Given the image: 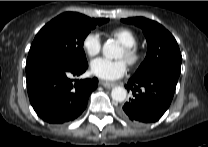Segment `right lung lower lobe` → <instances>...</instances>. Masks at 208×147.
<instances>
[{
    "label": "right lung lower lobe",
    "instance_id": "98d812e1",
    "mask_svg": "<svg viewBox=\"0 0 208 147\" xmlns=\"http://www.w3.org/2000/svg\"><path fill=\"white\" fill-rule=\"evenodd\" d=\"M63 59H45L26 65L30 103L37 115L48 123L62 124L77 118L97 88L98 79L74 80L86 71Z\"/></svg>",
    "mask_w": 208,
    "mask_h": 147
}]
</instances>
